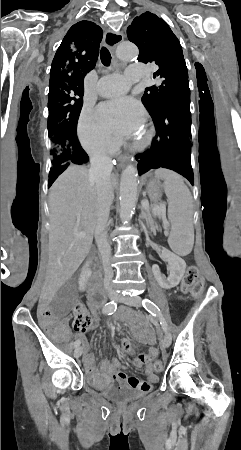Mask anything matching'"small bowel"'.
Listing matches in <instances>:
<instances>
[{
  "label": "small bowel",
  "mask_w": 241,
  "mask_h": 450,
  "mask_svg": "<svg viewBox=\"0 0 241 450\" xmlns=\"http://www.w3.org/2000/svg\"><path fill=\"white\" fill-rule=\"evenodd\" d=\"M88 298L93 305L97 303L93 300L90 294H88ZM48 305L49 304L47 301H40V310L36 312V317L38 319H53L55 317V312L53 310H49ZM53 325V322L50 320H45L42 323V326L45 329H48V334L50 335L49 337L52 339L56 335L57 337L55 338V341L60 344L64 340L62 336H65L68 333V330L65 327L69 324L65 322L63 324L65 327L56 328L53 327ZM97 325V320L94 317H88V319H75L73 326L76 331L81 333L79 339L83 343L84 347H86V341L83 334L96 328ZM150 330V324H137L136 329L132 328L130 324V332L133 335V341L127 338L122 341V349L125 353H130L133 350V342L137 345L148 346L146 353L138 354L133 360L136 367H144L146 379L141 380L137 377L126 374L122 371L123 365L118 358H115L112 361L107 359L102 360L101 368L100 370H97L94 365L93 355L86 352L84 356L85 363L87 372L90 375L93 384L98 388H103L110 384L118 383L122 386H128L143 393L151 391L154 385L158 382V376L156 375L154 366L151 362L158 356L159 350L156 346V337L152 331L150 332Z\"/></svg>",
  "instance_id": "1"
}]
</instances>
